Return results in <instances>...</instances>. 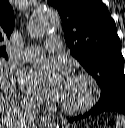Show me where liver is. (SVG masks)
<instances>
[{"mask_svg":"<svg viewBox=\"0 0 125 128\" xmlns=\"http://www.w3.org/2000/svg\"><path fill=\"white\" fill-rule=\"evenodd\" d=\"M16 97L13 79L0 68V128H19L20 110Z\"/></svg>","mask_w":125,"mask_h":128,"instance_id":"liver-1","label":"liver"}]
</instances>
